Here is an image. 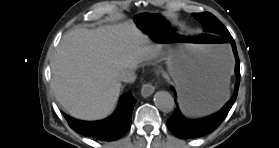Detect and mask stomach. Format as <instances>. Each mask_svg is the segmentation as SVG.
I'll list each match as a JSON object with an SVG mask.
<instances>
[{
	"label": "stomach",
	"instance_id": "1",
	"mask_svg": "<svg viewBox=\"0 0 279 148\" xmlns=\"http://www.w3.org/2000/svg\"><path fill=\"white\" fill-rule=\"evenodd\" d=\"M134 24L138 32L160 46L177 44L178 49L168 64L181 107L187 115L207 114L221 106L226 100L223 87L229 80L232 65L222 38L184 33L165 14L150 10L138 13Z\"/></svg>",
	"mask_w": 279,
	"mask_h": 148
}]
</instances>
